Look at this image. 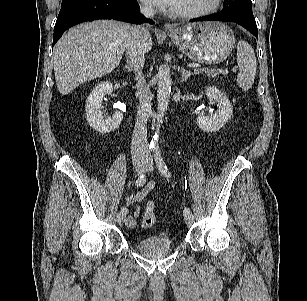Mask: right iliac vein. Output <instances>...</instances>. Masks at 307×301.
I'll list each match as a JSON object with an SVG mask.
<instances>
[{
	"instance_id": "right-iliac-vein-1",
	"label": "right iliac vein",
	"mask_w": 307,
	"mask_h": 301,
	"mask_svg": "<svg viewBox=\"0 0 307 301\" xmlns=\"http://www.w3.org/2000/svg\"><path fill=\"white\" fill-rule=\"evenodd\" d=\"M133 165L137 173H141L145 167V162L143 156H136L133 159ZM117 223L122 225L125 221V215L119 212L116 217Z\"/></svg>"
}]
</instances>
